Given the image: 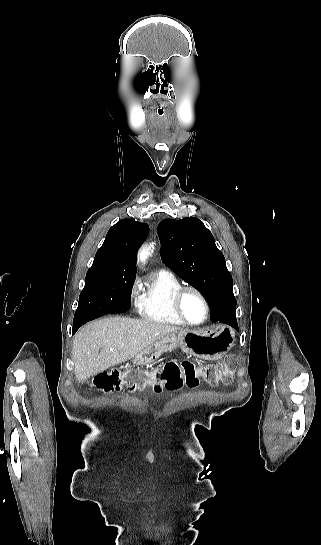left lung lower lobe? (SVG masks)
I'll return each instance as SVG.
<instances>
[{"mask_svg":"<svg viewBox=\"0 0 321 545\" xmlns=\"http://www.w3.org/2000/svg\"><path fill=\"white\" fill-rule=\"evenodd\" d=\"M211 320L213 322L219 321L221 323L228 324L238 331V325L236 320L235 311L230 313H216L210 312Z\"/></svg>","mask_w":321,"mask_h":545,"instance_id":"left-lung-lower-lobe-1","label":"left lung lower lobe"}]
</instances>
